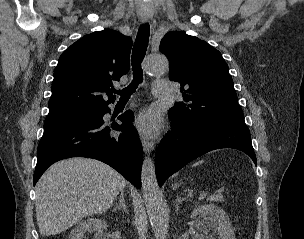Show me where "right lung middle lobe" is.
I'll list each match as a JSON object with an SVG mask.
<instances>
[{
  "label": "right lung middle lobe",
  "instance_id": "right-lung-middle-lobe-1",
  "mask_svg": "<svg viewBox=\"0 0 304 239\" xmlns=\"http://www.w3.org/2000/svg\"><path fill=\"white\" fill-rule=\"evenodd\" d=\"M101 111V109H96V110H92V111H88V112H84L81 114H77L74 116H70V117H65V118H59V119H46L44 124L47 123H55V122H63V121H74V120H84V119H89L92 116L96 115L97 113H99Z\"/></svg>",
  "mask_w": 304,
  "mask_h": 239
}]
</instances>
